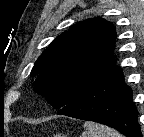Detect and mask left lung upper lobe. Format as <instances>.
<instances>
[{
  "instance_id": "1",
  "label": "left lung upper lobe",
  "mask_w": 144,
  "mask_h": 137,
  "mask_svg": "<svg viewBox=\"0 0 144 137\" xmlns=\"http://www.w3.org/2000/svg\"><path fill=\"white\" fill-rule=\"evenodd\" d=\"M114 26L100 17L73 25L35 63L34 90L56 109L69 105L118 69Z\"/></svg>"
}]
</instances>
